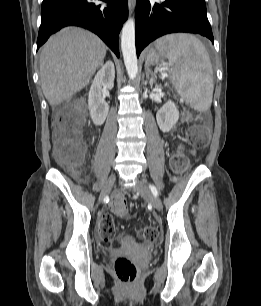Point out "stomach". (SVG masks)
Segmentation results:
<instances>
[{"label":"stomach","mask_w":261,"mask_h":306,"mask_svg":"<svg viewBox=\"0 0 261 306\" xmlns=\"http://www.w3.org/2000/svg\"><path fill=\"white\" fill-rule=\"evenodd\" d=\"M165 57V51H161L157 47H151L147 50L145 55L146 64L162 63Z\"/></svg>","instance_id":"0dacf381"}]
</instances>
